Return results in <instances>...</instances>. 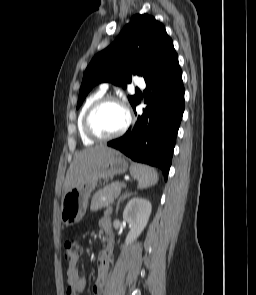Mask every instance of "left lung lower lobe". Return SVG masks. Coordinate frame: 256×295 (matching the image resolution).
I'll return each instance as SVG.
<instances>
[{"instance_id": "0a47b994", "label": "left lung lower lobe", "mask_w": 256, "mask_h": 295, "mask_svg": "<svg viewBox=\"0 0 256 295\" xmlns=\"http://www.w3.org/2000/svg\"><path fill=\"white\" fill-rule=\"evenodd\" d=\"M142 116L122 137L107 143L134 161L162 169L165 180L171 166L184 112V87L178 61L157 78L146 81ZM140 102V100L133 106Z\"/></svg>"}]
</instances>
